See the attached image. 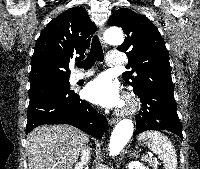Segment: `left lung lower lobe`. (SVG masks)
I'll use <instances>...</instances> for the list:
<instances>
[{
    "instance_id": "left-lung-lower-lobe-1",
    "label": "left lung lower lobe",
    "mask_w": 200,
    "mask_h": 169,
    "mask_svg": "<svg viewBox=\"0 0 200 169\" xmlns=\"http://www.w3.org/2000/svg\"><path fill=\"white\" fill-rule=\"evenodd\" d=\"M139 98L142 102V111L136 115L137 127L134 135L147 130L165 129L183 139L173 92L148 88L139 95Z\"/></svg>"
}]
</instances>
